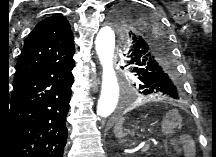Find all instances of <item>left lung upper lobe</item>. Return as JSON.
Returning a JSON list of instances; mask_svg holds the SVG:
<instances>
[{
	"label": "left lung upper lobe",
	"instance_id": "5c2ea615",
	"mask_svg": "<svg viewBox=\"0 0 216 157\" xmlns=\"http://www.w3.org/2000/svg\"><path fill=\"white\" fill-rule=\"evenodd\" d=\"M154 10L132 3L115 8L110 22L118 30L130 72L138 80V91L166 100L184 96L180 76L172 59L161 19Z\"/></svg>",
	"mask_w": 216,
	"mask_h": 157
}]
</instances>
